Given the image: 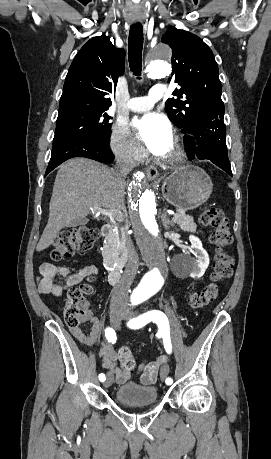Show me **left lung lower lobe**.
<instances>
[{
	"mask_svg": "<svg viewBox=\"0 0 271 459\" xmlns=\"http://www.w3.org/2000/svg\"><path fill=\"white\" fill-rule=\"evenodd\" d=\"M197 147L189 159L210 160L232 176L226 146V127L223 119H216L196 131Z\"/></svg>",
	"mask_w": 271,
	"mask_h": 459,
	"instance_id": "1",
	"label": "left lung lower lobe"
}]
</instances>
